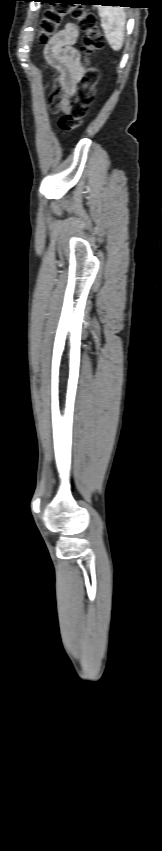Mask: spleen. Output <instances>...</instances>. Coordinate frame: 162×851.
<instances>
[{
	"mask_svg": "<svg viewBox=\"0 0 162 851\" xmlns=\"http://www.w3.org/2000/svg\"><path fill=\"white\" fill-rule=\"evenodd\" d=\"M101 26L106 39L114 51H119L124 42L126 14L120 7L98 6Z\"/></svg>",
	"mask_w": 162,
	"mask_h": 851,
	"instance_id": "obj_1",
	"label": "spleen"
}]
</instances>
